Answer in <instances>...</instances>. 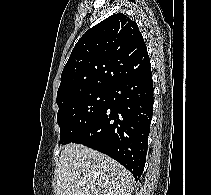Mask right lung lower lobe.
Listing matches in <instances>:
<instances>
[{
  "label": "right lung lower lobe",
  "mask_w": 211,
  "mask_h": 195,
  "mask_svg": "<svg viewBox=\"0 0 211 195\" xmlns=\"http://www.w3.org/2000/svg\"><path fill=\"white\" fill-rule=\"evenodd\" d=\"M110 91L107 107L73 143L107 154L137 181L145 166L153 112L151 68L120 80Z\"/></svg>",
  "instance_id": "98d812e1"
}]
</instances>
